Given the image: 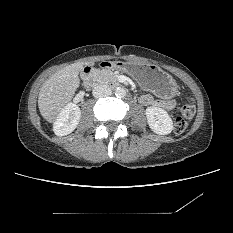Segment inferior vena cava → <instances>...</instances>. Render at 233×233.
<instances>
[{
	"label": "inferior vena cava",
	"mask_w": 233,
	"mask_h": 233,
	"mask_svg": "<svg viewBox=\"0 0 233 233\" xmlns=\"http://www.w3.org/2000/svg\"><path fill=\"white\" fill-rule=\"evenodd\" d=\"M93 96L95 98L107 97L112 94L111 89L106 85H98L93 89Z\"/></svg>",
	"instance_id": "1"
}]
</instances>
